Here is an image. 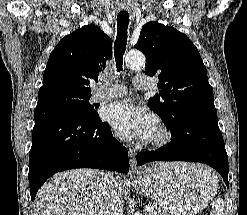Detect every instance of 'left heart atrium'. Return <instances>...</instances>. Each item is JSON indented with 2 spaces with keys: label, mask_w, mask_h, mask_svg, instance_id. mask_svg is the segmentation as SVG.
Segmentation results:
<instances>
[{
  "label": "left heart atrium",
  "mask_w": 247,
  "mask_h": 215,
  "mask_svg": "<svg viewBox=\"0 0 247 215\" xmlns=\"http://www.w3.org/2000/svg\"><path fill=\"white\" fill-rule=\"evenodd\" d=\"M105 117L115 132L127 139H148L157 129L155 117L129 99L108 106Z\"/></svg>",
  "instance_id": "left-heart-atrium-1"
}]
</instances>
